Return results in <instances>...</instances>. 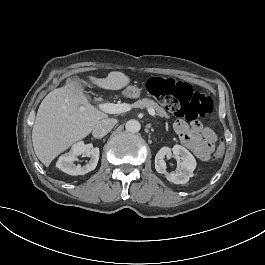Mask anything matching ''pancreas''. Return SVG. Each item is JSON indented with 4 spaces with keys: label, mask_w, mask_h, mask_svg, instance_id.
<instances>
[{
    "label": "pancreas",
    "mask_w": 265,
    "mask_h": 265,
    "mask_svg": "<svg viewBox=\"0 0 265 265\" xmlns=\"http://www.w3.org/2000/svg\"><path fill=\"white\" fill-rule=\"evenodd\" d=\"M132 107L134 108H140V109H153L157 115L161 118H167L169 117L166 112L164 111V109L159 106V104L153 100H149L147 98H143L142 100H138L136 103H134L132 105Z\"/></svg>",
    "instance_id": "1"
}]
</instances>
